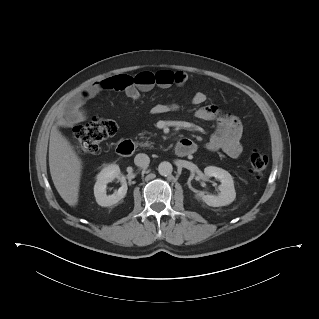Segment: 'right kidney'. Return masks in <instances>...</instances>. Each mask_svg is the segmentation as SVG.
Returning a JSON list of instances; mask_svg holds the SVG:
<instances>
[{"label": "right kidney", "instance_id": "obj_1", "mask_svg": "<svg viewBox=\"0 0 319 319\" xmlns=\"http://www.w3.org/2000/svg\"><path fill=\"white\" fill-rule=\"evenodd\" d=\"M115 178H118L122 185L118 191L114 192L111 195L106 194L107 184L113 181ZM127 182L125 177L121 174L120 168L116 164H111L104 167L101 172L97 175V181L94 186V195L96 202L100 206H111L116 204L121 199H123L127 193Z\"/></svg>", "mask_w": 319, "mask_h": 319}]
</instances>
